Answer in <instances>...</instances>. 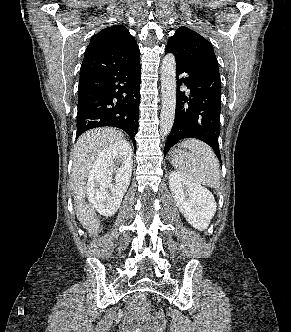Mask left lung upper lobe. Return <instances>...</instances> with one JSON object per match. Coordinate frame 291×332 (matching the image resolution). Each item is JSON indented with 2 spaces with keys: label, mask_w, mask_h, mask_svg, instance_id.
I'll return each instance as SVG.
<instances>
[{
  "label": "left lung upper lobe",
  "mask_w": 291,
  "mask_h": 332,
  "mask_svg": "<svg viewBox=\"0 0 291 332\" xmlns=\"http://www.w3.org/2000/svg\"><path fill=\"white\" fill-rule=\"evenodd\" d=\"M166 50L191 68L212 66L218 69L212 44L190 28L179 27L169 38Z\"/></svg>",
  "instance_id": "obj_1"
}]
</instances>
